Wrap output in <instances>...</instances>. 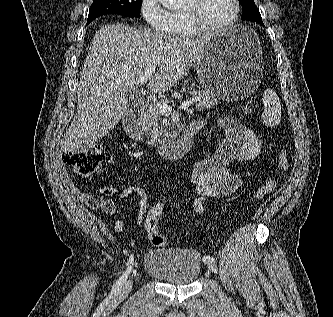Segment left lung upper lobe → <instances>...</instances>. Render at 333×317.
I'll return each mask as SVG.
<instances>
[{
    "instance_id": "5c2ea615",
    "label": "left lung upper lobe",
    "mask_w": 333,
    "mask_h": 317,
    "mask_svg": "<svg viewBox=\"0 0 333 317\" xmlns=\"http://www.w3.org/2000/svg\"><path fill=\"white\" fill-rule=\"evenodd\" d=\"M239 2L243 8L242 19L263 24L259 9L255 5L254 0H239Z\"/></svg>"
}]
</instances>
